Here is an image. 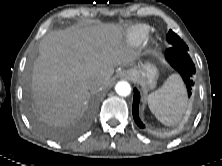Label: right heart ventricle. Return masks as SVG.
<instances>
[{
  "label": "right heart ventricle",
  "instance_id": "e07e8e85",
  "mask_svg": "<svg viewBox=\"0 0 222 166\" xmlns=\"http://www.w3.org/2000/svg\"><path fill=\"white\" fill-rule=\"evenodd\" d=\"M150 31V27L145 24H139L131 27L126 33V41L132 46H137L144 42Z\"/></svg>",
  "mask_w": 222,
  "mask_h": 166
}]
</instances>
